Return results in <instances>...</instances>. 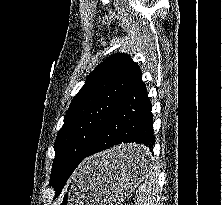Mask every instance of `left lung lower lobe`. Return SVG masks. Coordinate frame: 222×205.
Listing matches in <instances>:
<instances>
[{"label": "left lung lower lobe", "instance_id": "1", "mask_svg": "<svg viewBox=\"0 0 222 205\" xmlns=\"http://www.w3.org/2000/svg\"><path fill=\"white\" fill-rule=\"evenodd\" d=\"M151 109L139 68L108 113L88 151L80 157L70 154L62 159L60 167L66 170V176L56 189V196L85 158L116 145L137 143L147 146L146 150L127 151L118 156V161L124 164H145L150 159L149 150H152L155 143Z\"/></svg>", "mask_w": 222, "mask_h": 205}]
</instances>
